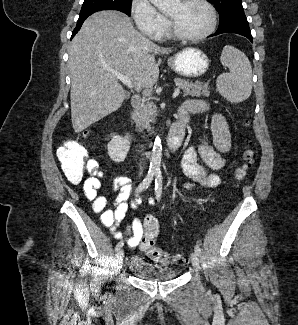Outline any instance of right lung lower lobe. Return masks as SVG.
Listing matches in <instances>:
<instances>
[{
  "instance_id": "right-lung-lower-lobe-1",
  "label": "right lung lower lobe",
  "mask_w": 298,
  "mask_h": 325,
  "mask_svg": "<svg viewBox=\"0 0 298 325\" xmlns=\"http://www.w3.org/2000/svg\"><path fill=\"white\" fill-rule=\"evenodd\" d=\"M83 22H84V20L78 19L77 25H76L73 33H72V37L79 31V29L81 28V25H82Z\"/></svg>"
}]
</instances>
